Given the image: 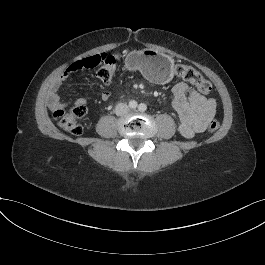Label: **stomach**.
Instances as JSON below:
<instances>
[{
  "label": "stomach",
  "mask_w": 265,
  "mask_h": 265,
  "mask_svg": "<svg viewBox=\"0 0 265 265\" xmlns=\"http://www.w3.org/2000/svg\"><path fill=\"white\" fill-rule=\"evenodd\" d=\"M128 70H139L146 78L159 84H165L173 78V60L155 50H133L125 59Z\"/></svg>",
  "instance_id": "0dacf381"
}]
</instances>
